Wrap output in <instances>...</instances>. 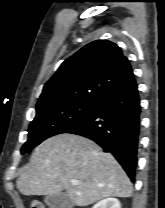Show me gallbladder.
<instances>
[{
    "label": "gallbladder",
    "mask_w": 165,
    "mask_h": 208,
    "mask_svg": "<svg viewBox=\"0 0 165 208\" xmlns=\"http://www.w3.org/2000/svg\"><path fill=\"white\" fill-rule=\"evenodd\" d=\"M49 208H73L74 203L70 200L67 194L60 192L53 195H47L44 199Z\"/></svg>",
    "instance_id": "bac80fb5"
}]
</instances>
